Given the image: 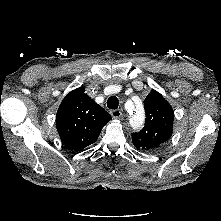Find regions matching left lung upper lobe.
I'll list each match as a JSON object with an SVG mask.
<instances>
[{"label":"left lung upper lobe","instance_id":"obj_1","mask_svg":"<svg viewBox=\"0 0 221 221\" xmlns=\"http://www.w3.org/2000/svg\"><path fill=\"white\" fill-rule=\"evenodd\" d=\"M145 126L132 134V142L138 150L152 152L172 136L174 112L163 96L152 90L144 101Z\"/></svg>","mask_w":221,"mask_h":221}]
</instances>
